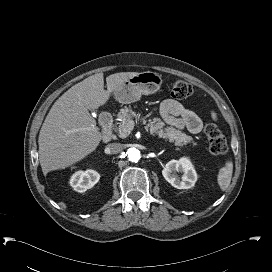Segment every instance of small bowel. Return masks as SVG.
<instances>
[{
	"label": "small bowel",
	"mask_w": 272,
	"mask_h": 272,
	"mask_svg": "<svg viewBox=\"0 0 272 272\" xmlns=\"http://www.w3.org/2000/svg\"><path fill=\"white\" fill-rule=\"evenodd\" d=\"M159 112L166 123L177 128H186L192 133H199L203 127L201 115L185 108L175 100H164L160 105ZM211 114L215 117L214 111H212Z\"/></svg>",
	"instance_id": "c3829d8e"
}]
</instances>
